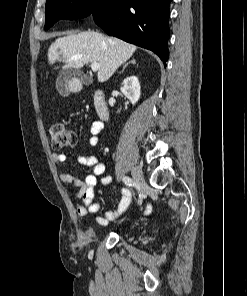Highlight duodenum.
I'll list each match as a JSON object with an SVG mask.
<instances>
[{
    "mask_svg": "<svg viewBox=\"0 0 247 296\" xmlns=\"http://www.w3.org/2000/svg\"><path fill=\"white\" fill-rule=\"evenodd\" d=\"M94 108L96 115L102 119L106 120L109 117V109L106 102L105 94L103 91L98 90L94 96Z\"/></svg>",
    "mask_w": 247,
    "mask_h": 296,
    "instance_id": "410a0bca",
    "label": "duodenum"
}]
</instances>
